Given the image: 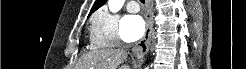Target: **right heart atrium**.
I'll return each instance as SVG.
<instances>
[{"label": "right heart atrium", "mask_w": 246, "mask_h": 69, "mask_svg": "<svg viewBox=\"0 0 246 69\" xmlns=\"http://www.w3.org/2000/svg\"><path fill=\"white\" fill-rule=\"evenodd\" d=\"M119 41V17L106 7L97 10L91 18V46L93 48L113 47Z\"/></svg>", "instance_id": "right-heart-atrium-1"}]
</instances>
